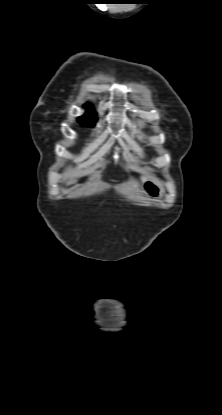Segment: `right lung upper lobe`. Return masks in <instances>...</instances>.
Masks as SVG:
<instances>
[{
  "instance_id": "obj_1",
  "label": "right lung upper lobe",
  "mask_w": 222,
  "mask_h": 415,
  "mask_svg": "<svg viewBox=\"0 0 222 415\" xmlns=\"http://www.w3.org/2000/svg\"><path fill=\"white\" fill-rule=\"evenodd\" d=\"M85 107L87 108V111H89V112H93V111H92V109H91V105L86 104V105H85Z\"/></svg>"
}]
</instances>
